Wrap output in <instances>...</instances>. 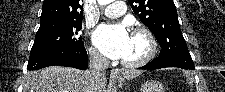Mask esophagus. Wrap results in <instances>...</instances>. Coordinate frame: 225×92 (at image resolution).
<instances>
[{"label": "esophagus", "mask_w": 225, "mask_h": 92, "mask_svg": "<svg viewBox=\"0 0 225 92\" xmlns=\"http://www.w3.org/2000/svg\"><path fill=\"white\" fill-rule=\"evenodd\" d=\"M113 75L117 74L118 72L116 70H112L111 72Z\"/></svg>", "instance_id": "1"}]
</instances>
